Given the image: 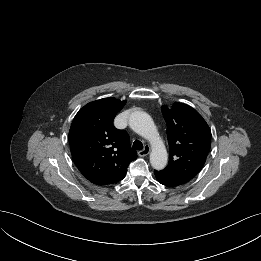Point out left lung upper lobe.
I'll return each instance as SVG.
<instances>
[{
  "instance_id": "left-lung-upper-lobe-1",
  "label": "left lung upper lobe",
  "mask_w": 261,
  "mask_h": 261,
  "mask_svg": "<svg viewBox=\"0 0 261 261\" xmlns=\"http://www.w3.org/2000/svg\"><path fill=\"white\" fill-rule=\"evenodd\" d=\"M167 124L170 158L160 175L184 184L202 169L211 146V130L202 116L192 107L174 103L162 106Z\"/></svg>"
}]
</instances>
